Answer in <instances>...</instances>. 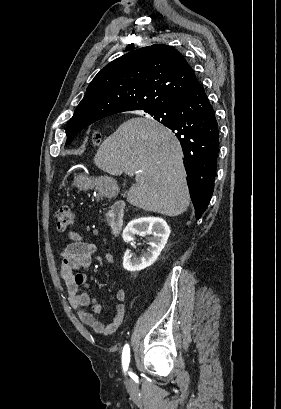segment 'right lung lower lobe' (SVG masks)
<instances>
[{
	"instance_id": "right-lung-lower-lobe-1",
	"label": "right lung lower lobe",
	"mask_w": 281,
	"mask_h": 409,
	"mask_svg": "<svg viewBox=\"0 0 281 409\" xmlns=\"http://www.w3.org/2000/svg\"><path fill=\"white\" fill-rule=\"evenodd\" d=\"M164 121L180 141L196 219L212 197L219 148V127L202 85L181 100L148 112Z\"/></svg>"
}]
</instances>
